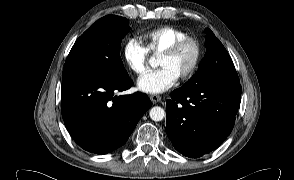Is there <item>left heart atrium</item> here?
<instances>
[{
  "label": "left heart atrium",
  "mask_w": 294,
  "mask_h": 180,
  "mask_svg": "<svg viewBox=\"0 0 294 180\" xmlns=\"http://www.w3.org/2000/svg\"><path fill=\"white\" fill-rule=\"evenodd\" d=\"M177 80L178 77L170 69L161 67L140 76L137 87L144 93L161 94L172 88Z\"/></svg>",
  "instance_id": "39dd6f15"
}]
</instances>
